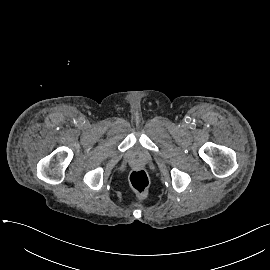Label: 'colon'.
<instances>
[{
  "instance_id": "obj_1",
  "label": "colon",
  "mask_w": 270,
  "mask_h": 270,
  "mask_svg": "<svg viewBox=\"0 0 270 270\" xmlns=\"http://www.w3.org/2000/svg\"><path fill=\"white\" fill-rule=\"evenodd\" d=\"M148 178L144 171L137 170L131 175V185L133 186L138 197L145 196L148 190Z\"/></svg>"
}]
</instances>
